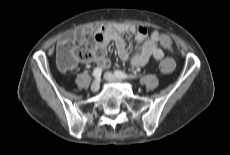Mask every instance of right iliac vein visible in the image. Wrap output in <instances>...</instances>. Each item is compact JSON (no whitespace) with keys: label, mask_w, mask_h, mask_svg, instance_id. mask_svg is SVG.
<instances>
[{"label":"right iliac vein","mask_w":230,"mask_h":155,"mask_svg":"<svg viewBox=\"0 0 230 155\" xmlns=\"http://www.w3.org/2000/svg\"><path fill=\"white\" fill-rule=\"evenodd\" d=\"M100 88V83L98 80L94 81L91 85V91L92 92H97Z\"/></svg>","instance_id":"obj_1"}]
</instances>
